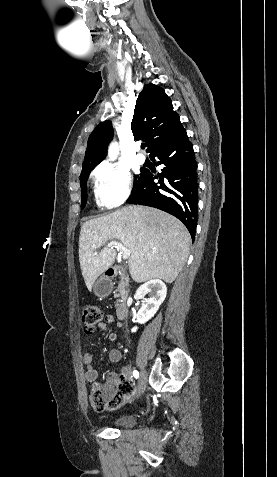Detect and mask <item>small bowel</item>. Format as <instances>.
<instances>
[{
  "mask_svg": "<svg viewBox=\"0 0 277 477\" xmlns=\"http://www.w3.org/2000/svg\"><path fill=\"white\" fill-rule=\"evenodd\" d=\"M105 321L106 323H114L117 328L122 327V323L117 321L113 315H106L105 316ZM98 328L105 330L107 328L105 323H99ZM108 341L110 343H115L118 340V336L116 333H109L108 336ZM108 359L110 362L116 363L119 362L122 359V352L118 349H112L109 351L108 354ZM83 363L85 365V380L87 382H94L97 380L99 372L98 369L94 366L93 364V358L90 353H85L83 356ZM129 376V369L128 367H124L122 370V374L120 377L117 376L115 373H109L108 375V383H116L118 381H129L128 380Z\"/></svg>",
  "mask_w": 277,
  "mask_h": 477,
  "instance_id": "1",
  "label": "small bowel"
}]
</instances>
